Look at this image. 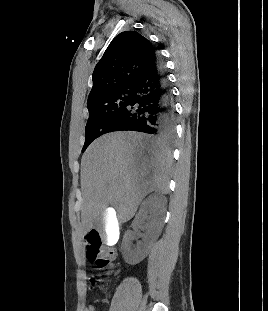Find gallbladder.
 Instances as JSON below:
<instances>
[{
    "label": "gallbladder",
    "mask_w": 268,
    "mask_h": 311,
    "mask_svg": "<svg viewBox=\"0 0 268 311\" xmlns=\"http://www.w3.org/2000/svg\"><path fill=\"white\" fill-rule=\"evenodd\" d=\"M115 209L114 205H109L107 209H103L101 218L98 219L96 224V228H99V233L104 239V246H115L117 239H120L121 236Z\"/></svg>",
    "instance_id": "bac80fb5"
}]
</instances>
